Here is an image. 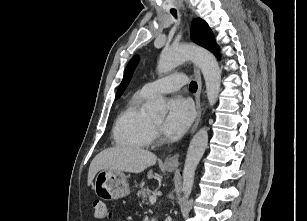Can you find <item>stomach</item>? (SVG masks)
Wrapping results in <instances>:
<instances>
[{
	"instance_id": "1",
	"label": "stomach",
	"mask_w": 307,
	"mask_h": 221,
	"mask_svg": "<svg viewBox=\"0 0 307 221\" xmlns=\"http://www.w3.org/2000/svg\"><path fill=\"white\" fill-rule=\"evenodd\" d=\"M168 171L173 169L167 168ZM96 195L104 200H115L129 194V185L122 171L101 170L93 184Z\"/></svg>"
}]
</instances>
